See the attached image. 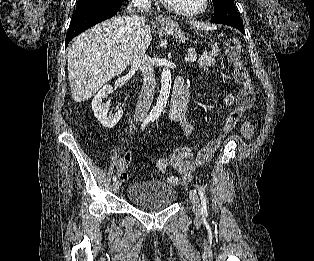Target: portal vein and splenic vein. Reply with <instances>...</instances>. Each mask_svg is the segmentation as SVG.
<instances>
[{"label":"portal vein and splenic vein","instance_id":"portal-vein-and-splenic-vein-1","mask_svg":"<svg viewBox=\"0 0 314 261\" xmlns=\"http://www.w3.org/2000/svg\"><path fill=\"white\" fill-rule=\"evenodd\" d=\"M197 59V55L196 54H193L191 56H189L188 58H186L187 61H190V62H195Z\"/></svg>","mask_w":314,"mask_h":261}]
</instances>
